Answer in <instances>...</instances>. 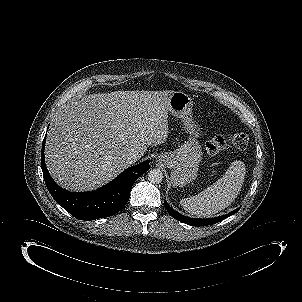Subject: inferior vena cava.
<instances>
[{
    "label": "inferior vena cava",
    "instance_id": "1",
    "mask_svg": "<svg viewBox=\"0 0 302 302\" xmlns=\"http://www.w3.org/2000/svg\"><path fill=\"white\" fill-rule=\"evenodd\" d=\"M141 155L137 151H130L126 154V163L131 165L140 159Z\"/></svg>",
    "mask_w": 302,
    "mask_h": 302
}]
</instances>
